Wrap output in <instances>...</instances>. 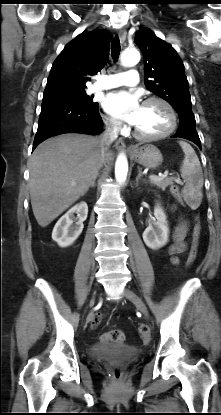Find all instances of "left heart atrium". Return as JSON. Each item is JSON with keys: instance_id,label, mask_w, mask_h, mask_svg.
<instances>
[{"instance_id": "left-heart-atrium-1", "label": "left heart atrium", "mask_w": 221, "mask_h": 415, "mask_svg": "<svg viewBox=\"0 0 221 415\" xmlns=\"http://www.w3.org/2000/svg\"><path fill=\"white\" fill-rule=\"evenodd\" d=\"M105 110L116 119L131 125L138 121L142 105L137 94L117 92L109 94L104 101Z\"/></svg>"}]
</instances>
